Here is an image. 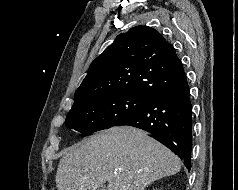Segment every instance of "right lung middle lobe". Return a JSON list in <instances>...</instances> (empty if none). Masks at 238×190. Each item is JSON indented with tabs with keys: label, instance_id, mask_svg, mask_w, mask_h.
Masks as SVG:
<instances>
[{
	"label": "right lung middle lobe",
	"instance_id": "dd1d6c3e",
	"mask_svg": "<svg viewBox=\"0 0 238 190\" xmlns=\"http://www.w3.org/2000/svg\"><path fill=\"white\" fill-rule=\"evenodd\" d=\"M151 100L128 93L93 97L72 106L65 124L80 132L82 136H87L115 126L142 110Z\"/></svg>",
	"mask_w": 238,
	"mask_h": 190
}]
</instances>
